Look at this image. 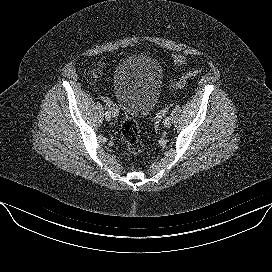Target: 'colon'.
Returning a JSON list of instances; mask_svg holds the SVG:
<instances>
[{"label":"colon","mask_w":272,"mask_h":272,"mask_svg":"<svg viewBox=\"0 0 272 272\" xmlns=\"http://www.w3.org/2000/svg\"><path fill=\"white\" fill-rule=\"evenodd\" d=\"M200 70H190L169 85L171 90L183 88L187 82L200 74ZM101 74V68L90 69L85 73L88 81H96ZM121 135L127 151L132 156H139L144 150V143L140 137L137 123L130 117H125L121 125Z\"/></svg>","instance_id":"1"}]
</instances>
